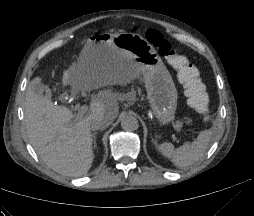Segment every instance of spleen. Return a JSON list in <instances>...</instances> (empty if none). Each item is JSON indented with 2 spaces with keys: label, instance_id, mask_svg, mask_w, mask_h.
Returning a JSON list of instances; mask_svg holds the SVG:
<instances>
[{
  "label": "spleen",
  "instance_id": "obj_1",
  "mask_svg": "<svg viewBox=\"0 0 254 216\" xmlns=\"http://www.w3.org/2000/svg\"><path fill=\"white\" fill-rule=\"evenodd\" d=\"M213 131L211 129L201 131L197 139L191 144H184L174 148L172 143H162L159 146L161 154L169 158L180 169L187 168L199 161L205 154L211 141Z\"/></svg>",
  "mask_w": 254,
  "mask_h": 216
}]
</instances>
